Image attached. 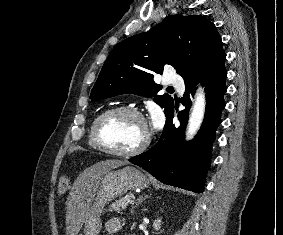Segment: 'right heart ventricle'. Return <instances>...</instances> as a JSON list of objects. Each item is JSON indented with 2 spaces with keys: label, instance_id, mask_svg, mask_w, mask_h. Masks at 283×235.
I'll use <instances>...</instances> for the list:
<instances>
[{
  "label": "right heart ventricle",
  "instance_id": "obj_1",
  "mask_svg": "<svg viewBox=\"0 0 283 235\" xmlns=\"http://www.w3.org/2000/svg\"><path fill=\"white\" fill-rule=\"evenodd\" d=\"M104 111H106V109H104V110H102L101 112H99V113L93 118V120L91 121L90 127H89V131H88V145H89L91 148H94V149H96L97 147L95 146V144H94V142H93L92 129H93V126H94L95 121L97 120V118H98Z\"/></svg>",
  "mask_w": 283,
  "mask_h": 235
}]
</instances>
